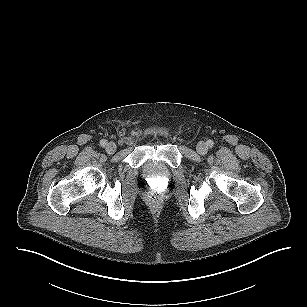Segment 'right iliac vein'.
<instances>
[{
  "mask_svg": "<svg viewBox=\"0 0 307 307\" xmlns=\"http://www.w3.org/2000/svg\"><path fill=\"white\" fill-rule=\"evenodd\" d=\"M117 149V146L114 142H109L106 144V152L108 154H113Z\"/></svg>",
  "mask_w": 307,
  "mask_h": 307,
  "instance_id": "right-iliac-vein-1",
  "label": "right iliac vein"
}]
</instances>
